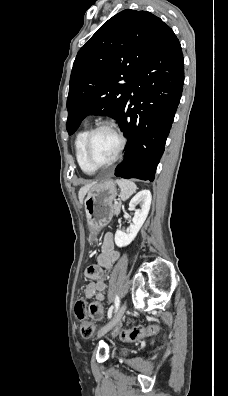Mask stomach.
Listing matches in <instances>:
<instances>
[{"mask_svg":"<svg viewBox=\"0 0 228 396\" xmlns=\"http://www.w3.org/2000/svg\"><path fill=\"white\" fill-rule=\"evenodd\" d=\"M117 196L112 180L93 183L86 192L84 200L86 218L92 234L99 232L112 218L113 201Z\"/></svg>","mask_w":228,"mask_h":396,"instance_id":"1","label":"stomach"}]
</instances>
